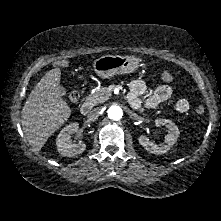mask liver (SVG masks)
<instances>
[{"label": "liver", "mask_w": 221, "mask_h": 221, "mask_svg": "<svg viewBox=\"0 0 221 221\" xmlns=\"http://www.w3.org/2000/svg\"><path fill=\"white\" fill-rule=\"evenodd\" d=\"M61 69L54 68L36 84L21 111V125L33 148L39 152L48 138L70 117L71 109L60 94Z\"/></svg>", "instance_id": "1"}]
</instances>
